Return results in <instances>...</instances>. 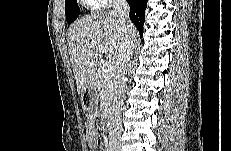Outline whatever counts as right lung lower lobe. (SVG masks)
Listing matches in <instances>:
<instances>
[{"label": "right lung lower lobe", "mask_w": 231, "mask_h": 151, "mask_svg": "<svg viewBox=\"0 0 231 151\" xmlns=\"http://www.w3.org/2000/svg\"><path fill=\"white\" fill-rule=\"evenodd\" d=\"M127 2L130 6L129 17L137 27L139 34L142 37L147 0H127Z\"/></svg>", "instance_id": "98d812e1"}]
</instances>
